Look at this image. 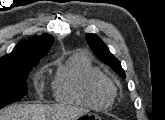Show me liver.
Wrapping results in <instances>:
<instances>
[{"label": "liver", "instance_id": "1", "mask_svg": "<svg viewBox=\"0 0 165 120\" xmlns=\"http://www.w3.org/2000/svg\"><path fill=\"white\" fill-rule=\"evenodd\" d=\"M83 110L64 106H44L38 104H14L0 113V120H57L73 119Z\"/></svg>", "mask_w": 165, "mask_h": 120}]
</instances>
